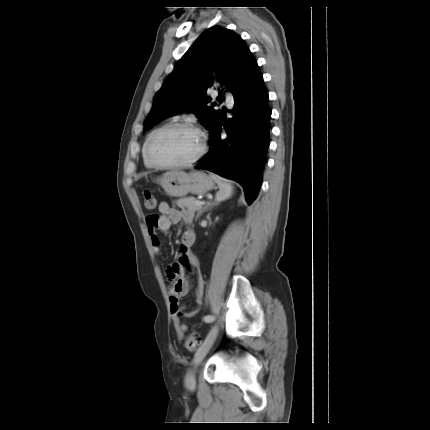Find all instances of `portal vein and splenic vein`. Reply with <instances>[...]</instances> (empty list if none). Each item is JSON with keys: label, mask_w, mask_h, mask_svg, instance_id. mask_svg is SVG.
I'll return each instance as SVG.
<instances>
[{"label": "portal vein and splenic vein", "mask_w": 430, "mask_h": 430, "mask_svg": "<svg viewBox=\"0 0 430 430\" xmlns=\"http://www.w3.org/2000/svg\"><path fill=\"white\" fill-rule=\"evenodd\" d=\"M196 205L197 206H202V205H204V202L198 200V201H196Z\"/></svg>", "instance_id": "18ae733b"}]
</instances>
